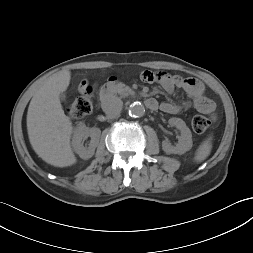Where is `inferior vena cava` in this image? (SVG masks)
Listing matches in <instances>:
<instances>
[{
    "instance_id": "inferior-vena-cava-1",
    "label": "inferior vena cava",
    "mask_w": 253,
    "mask_h": 253,
    "mask_svg": "<svg viewBox=\"0 0 253 253\" xmlns=\"http://www.w3.org/2000/svg\"><path fill=\"white\" fill-rule=\"evenodd\" d=\"M123 102L120 98L112 97L102 103L103 111L110 116H118L122 110Z\"/></svg>"
}]
</instances>
